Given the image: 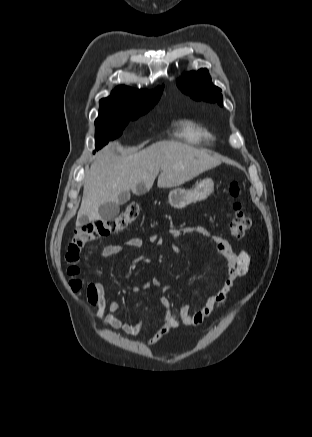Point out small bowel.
Here are the masks:
<instances>
[{
    "instance_id": "obj_1",
    "label": "small bowel",
    "mask_w": 312,
    "mask_h": 437,
    "mask_svg": "<svg viewBox=\"0 0 312 437\" xmlns=\"http://www.w3.org/2000/svg\"><path fill=\"white\" fill-rule=\"evenodd\" d=\"M168 235L172 239H177L183 235H200L213 242L215 248L220 252L228 262V269L224 281L219 289L208 295L203 305L192 308L189 304H183L176 314L171 306L170 301L165 296L160 297V303L164 308V323L155 332V334L148 340V344L152 345L160 341L163 337L168 335L172 330L178 328L180 324L186 326H199L204 320L223 306L228 299L229 292L233 286L236 278L244 276L249 270L251 257L248 251L242 250L235 253L230 243L209 231L202 226H189L182 228H170ZM153 242H160L161 238L157 235L152 236ZM125 247L143 248L144 241L141 238H130L122 243L109 244L104 246L100 251L102 258H110L121 253ZM175 252L179 251V246L174 244L172 246ZM160 286L158 279L146 281L142 287H132V292L137 293L141 289L147 290L151 287ZM163 292L169 290V286H162ZM87 299L91 307L97 309L96 315L103 320L105 324L115 330H119L126 335H136L149 326L151 315H146L139 319L134 324L126 323L113 315L118 311L120 305L117 302L109 303L106 296V291L102 283L99 281H92L87 287Z\"/></svg>"
}]
</instances>
